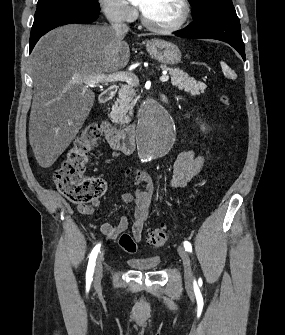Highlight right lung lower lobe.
<instances>
[{"mask_svg":"<svg viewBox=\"0 0 285 335\" xmlns=\"http://www.w3.org/2000/svg\"><path fill=\"white\" fill-rule=\"evenodd\" d=\"M99 14L75 9H63L48 13L39 18H34L30 34V52L37 41L48 31L66 24L93 22Z\"/></svg>","mask_w":285,"mask_h":335,"instance_id":"1","label":"right lung lower lobe"}]
</instances>
